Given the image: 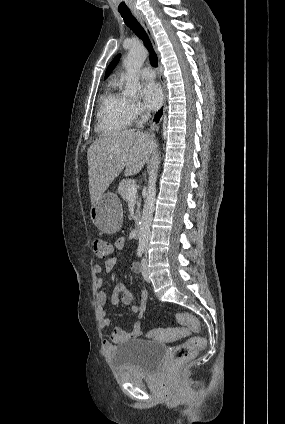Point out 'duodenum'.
Returning a JSON list of instances; mask_svg holds the SVG:
<instances>
[{
  "label": "duodenum",
  "instance_id": "obj_1",
  "mask_svg": "<svg viewBox=\"0 0 285 424\" xmlns=\"http://www.w3.org/2000/svg\"><path fill=\"white\" fill-rule=\"evenodd\" d=\"M133 235L136 240L140 239L141 237V227L138 224L134 228Z\"/></svg>",
  "mask_w": 285,
  "mask_h": 424
}]
</instances>
